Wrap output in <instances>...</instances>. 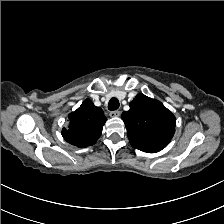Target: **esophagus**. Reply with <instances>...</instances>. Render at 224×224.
I'll use <instances>...</instances> for the list:
<instances>
[{
  "instance_id": "esophagus-1",
  "label": "esophagus",
  "mask_w": 224,
  "mask_h": 224,
  "mask_svg": "<svg viewBox=\"0 0 224 224\" xmlns=\"http://www.w3.org/2000/svg\"><path fill=\"white\" fill-rule=\"evenodd\" d=\"M120 115H121V112L118 111V110H116V111H112V112L110 113V116H111V117H119Z\"/></svg>"
}]
</instances>
